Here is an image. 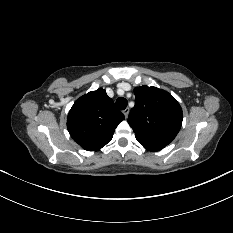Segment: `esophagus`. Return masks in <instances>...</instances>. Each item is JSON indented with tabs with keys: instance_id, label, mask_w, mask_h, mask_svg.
Returning <instances> with one entry per match:
<instances>
[{
	"instance_id": "obj_1",
	"label": "esophagus",
	"mask_w": 233,
	"mask_h": 233,
	"mask_svg": "<svg viewBox=\"0 0 233 233\" xmlns=\"http://www.w3.org/2000/svg\"><path fill=\"white\" fill-rule=\"evenodd\" d=\"M129 112H130L129 108H126V109L123 110V114H124L125 118L128 117Z\"/></svg>"
}]
</instances>
